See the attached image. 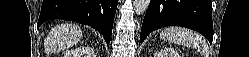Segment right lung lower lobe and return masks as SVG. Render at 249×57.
<instances>
[{"label":"right lung lower lobe","instance_id":"1","mask_svg":"<svg viewBox=\"0 0 249 57\" xmlns=\"http://www.w3.org/2000/svg\"><path fill=\"white\" fill-rule=\"evenodd\" d=\"M118 0H43L38 27L52 19L89 25L111 40Z\"/></svg>","mask_w":249,"mask_h":57}]
</instances>
